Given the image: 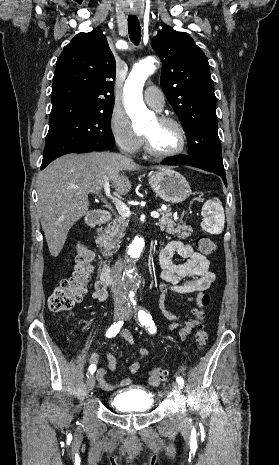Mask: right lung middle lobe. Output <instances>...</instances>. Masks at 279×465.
<instances>
[{
	"mask_svg": "<svg viewBox=\"0 0 279 465\" xmlns=\"http://www.w3.org/2000/svg\"><path fill=\"white\" fill-rule=\"evenodd\" d=\"M112 107L84 113L50 124L42 164L74 153L85 146L114 147L111 133Z\"/></svg>",
	"mask_w": 279,
	"mask_h": 465,
	"instance_id": "dd1d6c3e",
	"label": "right lung middle lobe"
}]
</instances>
